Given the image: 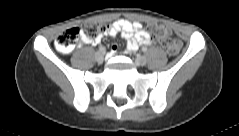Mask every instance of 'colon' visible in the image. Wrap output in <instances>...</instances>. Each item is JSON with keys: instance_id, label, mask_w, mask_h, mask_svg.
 <instances>
[{"instance_id": "5ec220e1", "label": "colon", "mask_w": 239, "mask_h": 136, "mask_svg": "<svg viewBox=\"0 0 239 136\" xmlns=\"http://www.w3.org/2000/svg\"><path fill=\"white\" fill-rule=\"evenodd\" d=\"M149 29L155 34L163 48L170 55H176L181 48L179 40L169 37L168 29L161 24H150ZM107 30V26L101 22H88L83 28L73 27L58 35L55 46L58 51L68 53L73 50L82 34L95 39Z\"/></svg>"}]
</instances>
